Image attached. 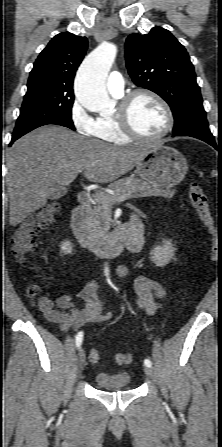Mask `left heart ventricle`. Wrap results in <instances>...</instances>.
Listing matches in <instances>:
<instances>
[{
    "mask_svg": "<svg viewBox=\"0 0 222 447\" xmlns=\"http://www.w3.org/2000/svg\"><path fill=\"white\" fill-rule=\"evenodd\" d=\"M130 120L138 133L147 136L159 134L166 123L161 106L146 95H140L134 100L130 109Z\"/></svg>",
    "mask_w": 222,
    "mask_h": 447,
    "instance_id": "left-heart-ventricle-1",
    "label": "left heart ventricle"
}]
</instances>
